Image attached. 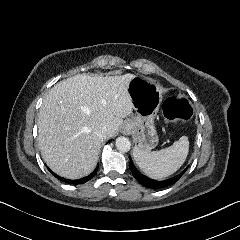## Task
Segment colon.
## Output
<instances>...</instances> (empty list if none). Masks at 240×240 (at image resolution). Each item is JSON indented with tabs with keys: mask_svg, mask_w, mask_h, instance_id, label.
<instances>
[{
	"mask_svg": "<svg viewBox=\"0 0 240 240\" xmlns=\"http://www.w3.org/2000/svg\"><path fill=\"white\" fill-rule=\"evenodd\" d=\"M192 106L190 102L181 97L168 100L163 106V122L189 120L192 117Z\"/></svg>",
	"mask_w": 240,
	"mask_h": 240,
	"instance_id": "5ec220e1",
	"label": "colon"
}]
</instances>
